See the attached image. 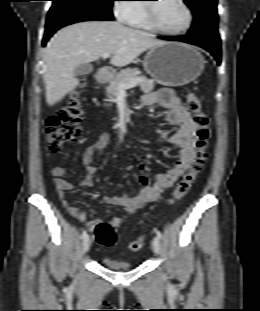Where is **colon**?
<instances>
[{"label": "colon", "mask_w": 260, "mask_h": 311, "mask_svg": "<svg viewBox=\"0 0 260 311\" xmlns=\"http://www.w3.org/2000/svg\"><path fill=\"white\" fill-rule=\"evenodd\" d=\"M84 80L80 81V85ZM187 109L193 115L197 127L196 151L192 165L184 177L177 183L170 203L184 197L190 190L191 185L201 172L207 159V150L211 136L210 119L200 108V102L195 93L187 95ZM83 106L79 100L78 91L71 93V99L67 105L55 116L50 117L46 122V149L49 153H58L63 144L77 141L82 135L80 123L83 119ZM97 242L103 246H112L116 243L117 234L115 227L109 222H99L94 230ZM144 246V237L132 241L128 249L130 252H137Z\"/></svg>", "instance_id": "5ec220e1"}]
</instances>
